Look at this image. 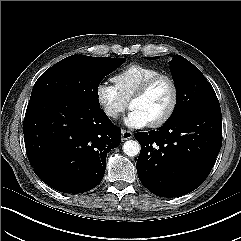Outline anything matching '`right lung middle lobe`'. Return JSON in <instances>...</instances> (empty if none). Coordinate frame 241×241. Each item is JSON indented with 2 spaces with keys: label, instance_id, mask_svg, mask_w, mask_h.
Wrapping results in <instances>:
<instances>
[{
  "label": "right lung middle lobe",
  "instance_id": "right-lung-middle-lobe-1",
  "mask_svg": "<svg viewBox=\"0 0 241 241\" xmlns=\"http://www.w3.org/2000/svg\"><path fill=\"white\" fill-rule=\"evenodd\" d=\"M125 62V58L69 56L44 72L36 81L30 100L60 95L81 105L98 108L102 79Z\"/></svg>",
  "mask_w": 241,
  "mask_h": 241
}]
</instances>
